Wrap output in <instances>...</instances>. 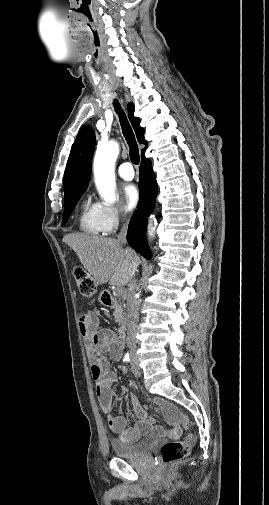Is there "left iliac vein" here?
I'll use <instances>...</instances> for the list:
<instances>
[{
  "label": "left iliac vein",
  "instance_id": "4c4485c4",
  "mask_svg": "<svg viewBox=\"0 0 269 505\" xmlns=\"http://www.w3.org/2000/svg\"><path fill=\"white\" fill-rule=\"evenodd\" d=\"M131 369H132V372L133 374L136 376V377H139L140 376V369L137 365V362H136V359L133 358L132 361H131Z\"/></svg>",
  "mask_w": 269,
  "mask_h": 505
}]
</instances>
